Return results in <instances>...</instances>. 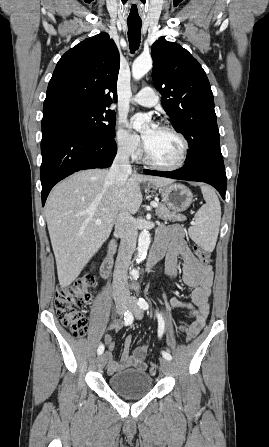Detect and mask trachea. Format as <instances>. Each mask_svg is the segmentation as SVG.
Instances as JSON below:
<instances>
[{"label": "trachea", "instance_id": "obj_1", "mask_svg": "<svg viewBox=\"0 0 269 447\" xmlns=\"http://www.w3.org/2000/svg\"><path fill=\"white\" fill-rule=\"evenodd\" d=\"M128 24V40L130 50L133 53L139 48L141 40V22H127Z\"/></svg>", "mask_w": 269, "mask_h": 447}]
</instances>
